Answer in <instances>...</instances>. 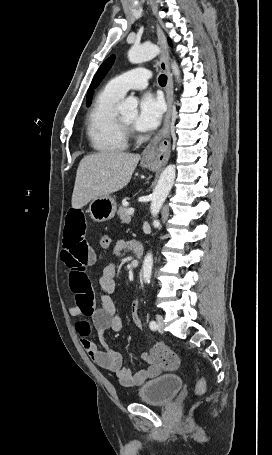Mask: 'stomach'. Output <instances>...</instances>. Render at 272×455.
Here are the masks:
<instances>
[{"label":"stomach","instance_id":"obj_1","mask_svg":"<svg viewBox=\"0 0 272 455\" xmlns=\"http://www.w3.org/2000/svg\"><path fill=\"white\" fill-rule=\"evenodd\" d=\"M141 165L150 170L156 168L155 162L152 160L142 159ZM116 209L117 205L115 199L107 195L92 200L88 212L95 222H105L114 217Z\"/></svg>","mask_w":272,"mask_h":455}]
</instances>
